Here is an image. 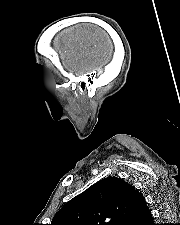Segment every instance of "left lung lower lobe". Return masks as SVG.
<instances>
[{
  "instance_id": "0a47b994",
  "label": "left lung lower lobe",
  "mask_w": 180,
  "mask_h": 225,
  "mask_svg": "<svg viewBox=\"0 0 180 225\" xmlns=\"http://www.w3.org/2000/svg\"><path fill=\"white\" fill-rule=\"evenodd\" d=\"M125 225H155L148 207L132 217Z\"/></svg>"
}]
</instances>
